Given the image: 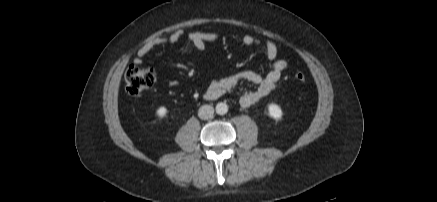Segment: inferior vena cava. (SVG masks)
<instances>
[{
    "label": "inferior vena cava",
    "instance_id": "1",
    "mask_svg": "<svg viewBox=\"0 0 437 202\" xmlns=\"http://www.w3.org/2000/svg\"><path fill=\"white\" fill-rule=\"evenodd\" d=\"M214 108L210 105H203L198 110V116L201 119L207 120L213 117Z\"/></svg>",
    "mask_w": 437,
    "mask_h": 202
}]
</instances>
